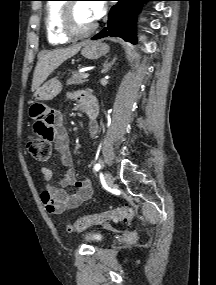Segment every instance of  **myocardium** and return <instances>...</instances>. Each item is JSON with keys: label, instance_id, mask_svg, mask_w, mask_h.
<instances>
[{"label": "myocardium", "instance_id": "myocardium-1", "mask_svg": "<svg viewBox=\"0 0 216 285\" xmlns=\"http://www.w3.org/2000/svg\"><path fill=\"white\" fill-rule=\"evenodd\" d=\"M75 4L76 2L64 3L60 15V30L69 39H82L91 35L97 29L98 24L95 22L90 28L82 31L76 29L73 17Z\"/></svg>", "mask_w": 216, "mask_h": 285}]
</instances>
